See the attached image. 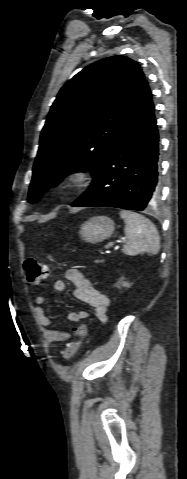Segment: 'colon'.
I'll use <instances>...</instances> for the list:
<instances>
[{
    "instance_id": "colon-1",
    "label": "colon",
    "mask_w": 187,
    "mask_h": 479,
    "mask_svg": "<svg viewBox=\"0 0 187 479\" xmlns=\"http://www.w3.org/2000/svg\"><path fill=\"white\" fill-rule=\"evenodd\" d=\"M24 270L26 273L27 281L31 285L40 284L47 278L49 273L47 264L32 257L27 258L24 261ZM73 334V339L62 352V358L64 360H70L71 358H73L78 353L81 345L88 340L89 333L87 325L84 323L80 324L74 329Z\"/></svg>"
}]
</instances>
